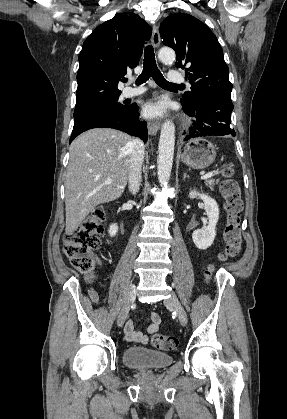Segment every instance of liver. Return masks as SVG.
<instances>
[{
	"label": "liver",
	"mask_w": 287,
	"mask_h": 419,
	"mask_svg": "<svg viewBox=\"0 0 287 419\" xmlns=\"http://www.w3.org/2000/svg\"><path fill=\"white\" fill-rule=\"evenodd\" d=\"M132 141L118 130L96 128L71 143L65 177L66 235H72L99 204L122 195L129 178Z\"/></svg>",
	"instance_id": "1"
}]
</instances>
